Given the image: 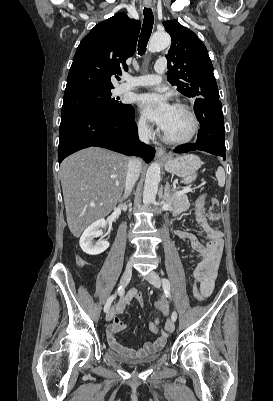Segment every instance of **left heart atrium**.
<instances>
[{"label":"left heart atrium","instance_id":"obj_1","mask_svg":"<svg viewBox=\"0 0 273 401\" xmlns=\"http://www.w3.org/2000/svg\"><path fill=\"white\" fill-rule=\"evenodd\" d=\"M138 106L145 118L154 121L162 129L167 125L174 109L166 98L154 93L140 95L138 97Z\"/></svg>","mask_w":273,"mask_h":401}]
</instances>
